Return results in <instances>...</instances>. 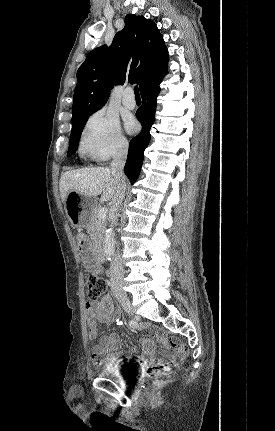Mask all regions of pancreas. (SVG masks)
Here are the masks:
<instances>
[{"mask_svg":"<svg viewBox=\"0 0 275 431\" xmlns=\"http://www.w3.org/2000/svg\"><path fill=\"white\" fill-rule=\"evenodd\" d=\"M100 208V205H96L92 209L87 225V229L91 232V239L95 248H100L106 227V220L98 217V211Z\"/></svg>","mask_w":275,"mask_h":431,"instance_id":"pancreas-1","label":"pancreas"}]
</instances>
